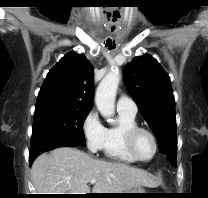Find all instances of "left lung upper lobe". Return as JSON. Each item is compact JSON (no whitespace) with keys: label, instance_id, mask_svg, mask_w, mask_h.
<instances>
[{"label":"left lung upper lobe","instance_id":"1","mask_svg":"<svg viewBox=\"0 0 208 198\" xmlns=\"http://www.w3.org/2000/svg\"><path fill=\"white\" fill-rule=\"evenodd\" d=\"M124 82L158 141L160 152L176 166L175 101L170 78L149 55L124 67Z\"/></svg>","mask_w":208,"mask_h":198}]
</instances>
